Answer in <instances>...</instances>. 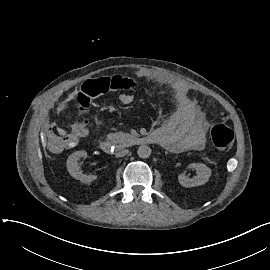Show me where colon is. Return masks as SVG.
<instances>
[{
    "mask_svg": "<svg viewBox=\"0 0 270 270\" xmlns=\"http://www.w3.org/2000/svg\"><path fill=\"white\" fill-rule=\"evenodd\" d=\"M139 83L129 77H121L119 75H111L109 77H102L95 81H88L84 83L78 91L75 98V107L82 115L78 116L73 122V129L79 134L87 133V114L93 103L99 95L108 92L109 90L125 91L128 89H136ZM211 139L214 146L220 150H227L234 141V132L225 124L219 123L211 129Z\"/></svg>",
    "mask_w": 270,
    "mask_h": 270,
    "instance_id": "colon-1",
    "label": "colon"
}]
</instances>
